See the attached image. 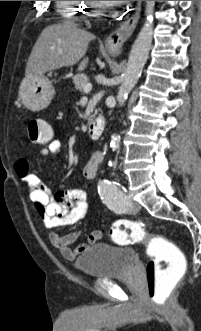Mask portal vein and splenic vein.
I'll return each instance as SVG.
<instances>
[{
  "label": "portal vein and splenic vein",
  "mask_w": 201,
  "mask_h": 331,
  "mask_svg": "<svg viewBox=\"0 0 201 331\" xmlns=\"http://www.w3.org/2000/svg\"><path fill=\"white\" fill-rule=\"evenodd\" d=\"M91 89H92V84H91V83H87V84L83 87V91H84L86 94L90 93Z\"/></svg>",
  "instance_id": "18ae733b"
}]
</instances>
